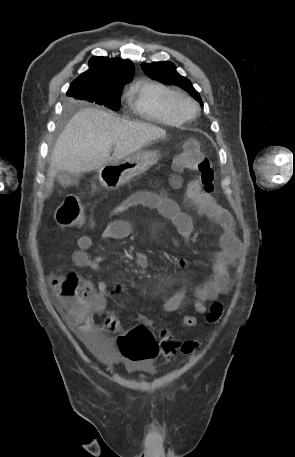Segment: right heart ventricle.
<instances>
[{
	"label": "right heart ventricle",
	"instance_id": "e07e8e85",
	"mask_svg": "<svg viewBox=\"0 0 295 457\" xmlns=\"http://www.w3.org/2000/svg\"><path fill=\"white\" fill-rule=\"evenodd\" d=\"M176 92L152 80L132 84L127 92L129 107L142 119L156 123L179 125L184 122L171 108V98Z\"/></svg>",
	"mask_w": 295,
	"mask_h": 457
}]
</instances>
